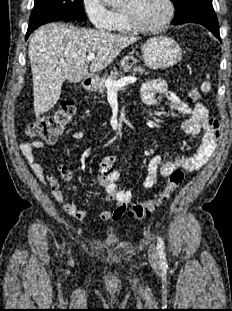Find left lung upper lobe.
Masks as SVG:
<instances>
[{
  "mask_svg": "<svg viewBox=\"0 0 232 311\" xmlns=\"http://www.w3.org/2000/svg\"><path fill=\"white\" fill-rule=\"evenodd\" d=\"M176 8V12L180 11L181 9L185 8L189 3L193 2L194 0H171Z\"/></svg>",
  "mask_w": 232,
  "mask_h": 311,
  "instance_id": "left-lung-upper-lobe-1",
  "label": "left lung upper lobe"
}]
</instances>
